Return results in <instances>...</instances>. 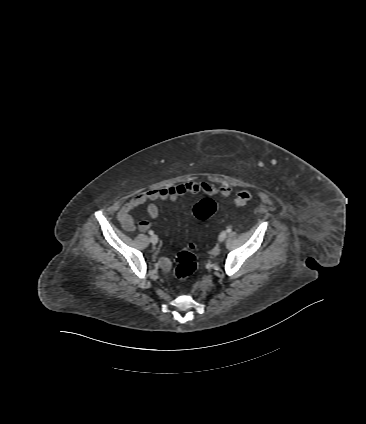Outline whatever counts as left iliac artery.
I'll return each mask as SVG.
<instances>
[{
	"label": "left iliac artery",
	"mask_w": 366,
	"mask_h": 424,
	"mask_svg": "<svg viewBox=\"0 0 366 424\" xmlns=\"http://www.w3.org/2000/svg\"><path fill=\"white\" fill-rule=\"evenodd\" d=\"M232 231V229L231 228H227V232L229 233V232H231Z\"/></svg>",
	"instance_id": "44dca946"
}]
</instances>
